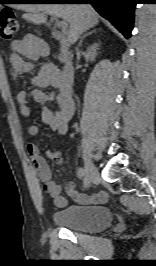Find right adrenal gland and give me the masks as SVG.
<instances>
[{
	"instance_id": "1",
	"label": "right adrenal gland",
	"mask_w": 156,
	"mask_h": 266,
	"mask_svg": "<svg viewBox=\"0 0 156 266\" xmlns=\"http://www.w3.org/2000/svg\"><path fill=\"white\" fill-rule=\"evenodd\" d=\"M94 32H95V30H92V31H90V32L85 33V34L81 37L80 42H79V45H80V46L82 45V41H83V39H84L86 36L91 35V34L94 33Z\"/></svg>"
}]
</instances>
